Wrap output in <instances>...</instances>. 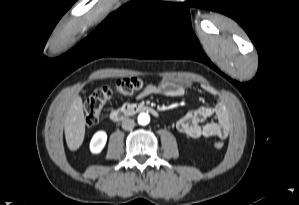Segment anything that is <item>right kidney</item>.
<instances>
[{"mask_svg":"<svg viewBox=\"0 0 299 205\" xmlns=\"http://www.w3.org/2000/svg\"><path fill=\"white\" fill-rule=\"evenodd\" d=\"M107 141V134L105 131H98L96 132L90 142V151L93 154H99Z\"/></svg>","mask_w":299,"mask_h":205,"instance_id":"1","label":"right kidney"}]
</instances>
